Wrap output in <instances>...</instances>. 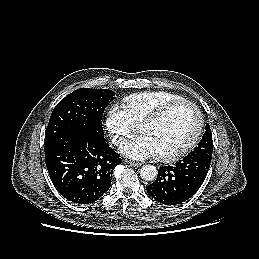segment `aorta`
<instances>
[{"mask_svg":"<svg viewBox=\"0 0 259 259\" xmlns=\"http://www.w3.org/2000/svg\"><path fill=\"white\" fill-rule=\"evenodd\" d=\"M158 171L154 165L146 164L140 169V176L146 181H152L157 177Z\"/></svg>","mask_w":259,"mask_h":259,"instance_id":"obj_1","label":"aorta"}]
</instances>
